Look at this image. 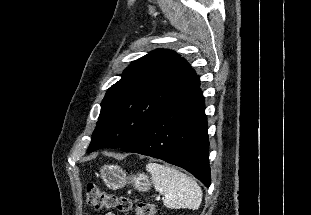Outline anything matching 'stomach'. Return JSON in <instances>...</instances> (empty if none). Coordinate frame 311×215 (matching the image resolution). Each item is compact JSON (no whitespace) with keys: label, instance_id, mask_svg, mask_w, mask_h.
Instances as JSON below:
<instances>
[{"label":"stomach","instance_id":"stomach-1","mask_svg":"<svg viewBox=\"0 0 311 215\" xmlns=\"http://www.w3.org/2000/svg\"><path fill=\"white\" fill-rule=\"evenodd\" d=\"M101 175L106 186L113 190L123 188L126 184H132L139 192H147L152 184L144 173L127 176L124 170L114 165L102 167Z\"/></svg>","mask_w":311,"mask_h":215}]
</instances>
